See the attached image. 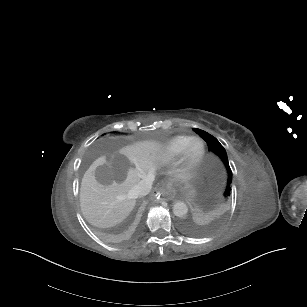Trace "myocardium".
<instances>
[{
    "label": "myocardium",
    "mask_w": 307,
    "mask_h": 307,
    "mask_svg": "<svg viewBox=\"0 0 307 307\" xmlns=\"http://www.w3.org/2000/svg\"><path fill=\"white\" fill-rule=\"evenodd\" d=\"M195 143H200L202 145V152L196 158L191 157L190 151L191 147ZM207 154V146L201 139L193 138L189 141L185 147L182 155L178 161L172 166L171 174L175 178H184L189 175L191 172L196 170L204 161Z\"/></svg>",
    "instance_id": "myocardium-1"
}]
</instances>
